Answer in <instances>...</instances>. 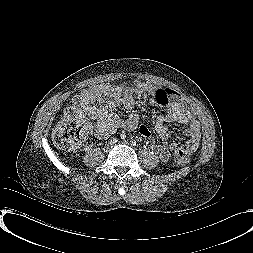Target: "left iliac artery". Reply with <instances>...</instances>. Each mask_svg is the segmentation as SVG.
Listing matches in <instances>:
<instances>
[{"instance_id": "obj_1", "label": "left iliac artery", "mask_w": 253, "mask_h": 253, "mask_svg": "<svg viewBox=\"0 0 253 253\" xmlns=\"http://www.w3.org/2000/svg\"><path fill=\"white\" fill-rule=\"evenodd\" d=\"M121 138H122V137H121ZM132 144H133V145H136V141H132Z\"/></svg>"}]
</instances>
